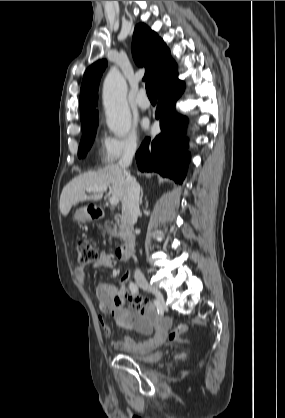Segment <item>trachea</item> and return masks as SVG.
Returning <instances> with one entry per match:
<instances>
[{
  "mask_svg": "<svg viewBox=\"0 0 285 418\" xmlns=\"http://www.w3.org/2000/svg\"><path fill=\"white\" fill-rule=\"evenodd\" d=\"M146 92L149 98H157L155 86L152 82L146 83Z\"/></svg>",
  "mask_w": 285,
  "mask_h": 418,
  "instance_id": "obj_1",
  "label": "trachea"
}]
</instances>
